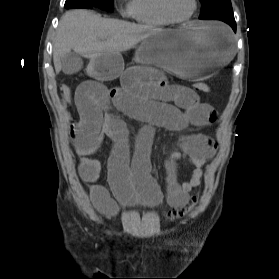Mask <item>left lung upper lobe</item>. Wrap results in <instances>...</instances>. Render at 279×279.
Instances as JSON below:
<instances>
[{"mask_svg": "<svg viewBox=\"0 0 279 279\" xmlns=\"http://www.w3.org/2000/svg\"><path fill=\"white\" fill-rule=\"evenodd\" d=\"M202 10L199 18L203 20H219L232 17L231 0H200Z\"/></svg>", "mask_w": 279, "mask_h": 279, "instance_id": "obj_1", "label": "left lung upper lobe"}]
</instances>
